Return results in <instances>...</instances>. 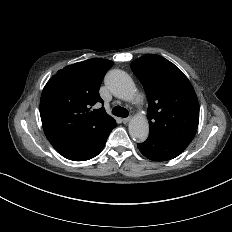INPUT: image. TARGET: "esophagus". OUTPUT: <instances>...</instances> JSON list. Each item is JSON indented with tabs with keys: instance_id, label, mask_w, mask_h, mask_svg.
<instances>
[{
	"instance_id": "1",
	"label": "esophagus",
	"mask_w": 232,
	"mask_h": 232,
	"mask_svg": "<svg viewBox=\"0 0 232 232\" xmlns=\"http://www.w3.org/2000/svg\"><path fill=\"white\" fill-rule=\"evenodd\" d=\"M129 120H130V117H126V118H123V119H122V122H123L124 124H127Z\"/></svg>"
}]
</instances>
